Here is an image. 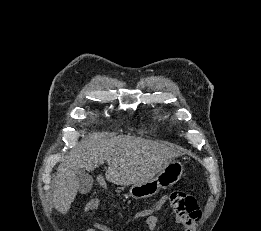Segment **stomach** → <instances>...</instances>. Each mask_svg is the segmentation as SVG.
Masks as SVG:
<instances>
[{
  "mask_svg": "<svg viewBox=\"0 0 261 231\" xmlns=\"http://www.w3.org/2000/svg\"><path fill=\"white\" fill-rule=\"evenodd\" d=\"M183 164L178 160L171 161L157 176L144 183L133 184L129 194L134 199H144L158 193L160 189H166L176 184L183 175ZM124 190L118 187L116 191Z\"/></svg>",
  "mask_w": 261,
  "mask_h": 231,
  "instance_id": "stomach-1",
  "label": "stomach"
}]
</instances>
